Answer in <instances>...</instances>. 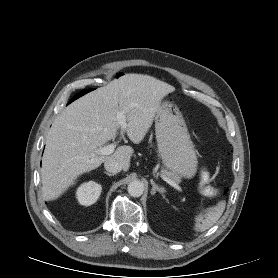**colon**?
Instances as JSON below:
<instances>
[{
  "instance_id": "5ec220e1",
  "label": "colon",
  "mask_w": 278,
  "mask_h": 278,
  "mask_svg": "<svg viewBox=\"0 0 278 278\" xmlns=\"http://www.w3.org/2000/svg\"><path fill=\"white\" fill-rule=\"evenodd\" d=\"M203 192L209 197H216L221 193V189L214 185H205L203 187Z\"/></svg>"
}]
</instances>
